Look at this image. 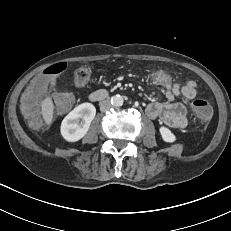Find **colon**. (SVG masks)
Here are the masks:
<instances>
[{
    "instance_id": "obj_1",
    "label": "colon",
    "mask_w": 231,
    "mask_h": 231,
    "mask_svg": "<svg viewBox=\"0 0 231 231\" xmlns=\"http://www.w3.org/2000/svg\"><path fill=\"white\" fill-rule=\"evenodd\" d=\"M65 68V63L51 65L44 70V74L38 75L35 80H31L26 84L25 92L21 98V110L30 126L35 128L41 126L38 103L42 91L47 90L51 85L50 79L61 74ZM89 77V68L81 66L75 71L74 83L76 86H83L88 82ZM148 79L155 85L170 86L173 83L172 73L164 72L163 70L151 71L148 74ZM53 103L56 114L61 115L71 109L74 103V96L70 92H60L54 96ZM191 105L196 119L202 125H206L212 117L213 110L211 105L203 99H196Z\"/></svg>"
}]
</instances>
